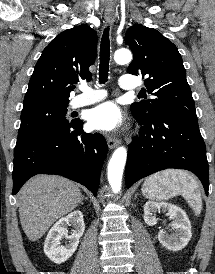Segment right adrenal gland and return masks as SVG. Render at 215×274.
Masks as SVG:
<instances>
[{
	"instance_id": "obj_1",
	"label": "right adrenal gland",
	"mask_w": 215,
	"mask_h": 274,
	"mask_svg": "<svg viewBox=\"0 0 215 274\" xmlns=\"http://www.w3.org/2000/svg\"><path fill=\"white\" fill-rule=\"evenodd\" d=\"M82 200H87V198H85L84 196L82 197ZM81 204H82V202H81Z\"/></svg>"
}]
</instances>
